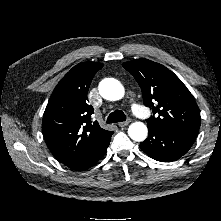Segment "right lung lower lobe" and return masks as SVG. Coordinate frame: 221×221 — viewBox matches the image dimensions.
<instances>
[{"label":"right lung lower lobe","instance_id":"1","mask_svg":"<svg viewBox=\"0 0 221 221\" xmlns=\"http://www.w3.org/2000/svg\"><path fill=\"white\" fill-rule=\"evenodd\" d=\"M110 139L111 137L102 146L94 150L92 153L67 166L77 171H83L90 168L107 152V147L109 146Z\"/></svg>","mask_w":221,"mask_h":221}]
</instances>
